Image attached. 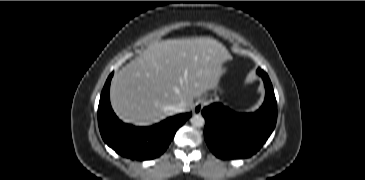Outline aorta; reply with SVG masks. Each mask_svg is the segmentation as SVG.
Wrapping results in <instances>:
<instances>
[{"mask_svg":"<svg viewBox=\"0 0 365 180\" xmlns=\"http://www.w3.org/2000/svg\"><path fill=\"white\" fill-rule=\"evenodd\" d=\"M190 122L196 127H202L205 124V119L202 115L196 114L192 116Z\"/></svg>","mask_w":365,"mask_h":180,"instance_id":"1","label":"aorta"}]
</instances>
